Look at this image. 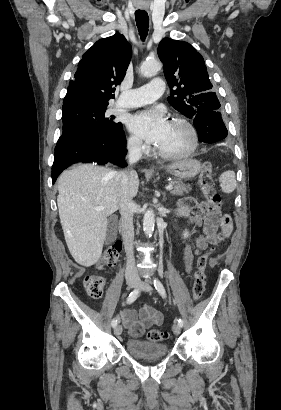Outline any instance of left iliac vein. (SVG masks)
Segmentation results:
<instances>
[{"mask_svg":"<svg viewBox=\"0 0 281 410\" xmlns=\"http://www.w3.org/2000/svg\"><path fill=\"white\" fill-rule=\"evenodd\" d=\"M138 288L142 291L145 292H151L152 291V286L150 285L149 282H139L137 284ZM172 330L174 332V334L178 335L181 332V326L177 323H175L172 327Z\"/></svg>","mask_w":281,"mask_h":410,"instance_id":"left-iliac-vein-1","label":"left iliac vein"}]
</instances>
